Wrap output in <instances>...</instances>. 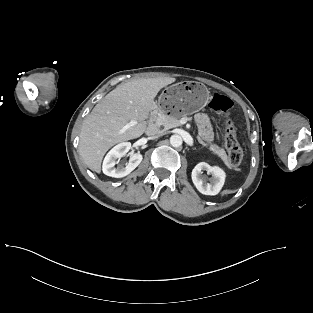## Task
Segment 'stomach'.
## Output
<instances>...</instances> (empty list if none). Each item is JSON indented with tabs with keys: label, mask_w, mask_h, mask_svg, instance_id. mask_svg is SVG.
<instances>
[{
	"label": "stomach",
	"mask_w": 313,
	"mask_h": 313,
	"mask_svg": "<svg viewBox=\"0 0 313 313\" xmlns=\"http://www.w3.org/2000/svg\"><path fill=\"white\" fill-rule=\"evenodd\" d=\"M209 91L204 84L194 81L178 82L161 93L157 107L160 112L176 117L191 115L206 106Z\"/></svg>",
	"instance_id": "stomach-1"
}]
</instances>
